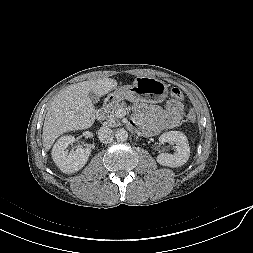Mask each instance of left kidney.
Segmentation results:
<instances>
[{
    "instance_id": "left-kidney-1",
    "label": "left kidney",
    "mask_w": 253,
    "mask_h": 253,
    "mask_svg": "<svg viewBox=\"0 0 253 253\" xmlns=\"http://www.w3.org/2000/svg\"><path fill=\"white\" fill-rule=\"evenodd\" d=\"M161 143L174 142L176 152L174 154L161 153L157 156V162L163 166L179 167L184 165L190 156L188 139L182 132L169 131L159 137Z\"/></svg>"
}]
</instances>
